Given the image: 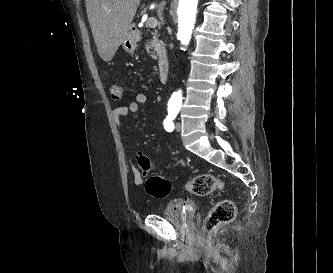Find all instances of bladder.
Masks as SVG:
<instances>
[{"instance_id": "bladder-1", "label": "bladder", "mask_w": 333, "mask_h": 273, "mask_svg": "<svg viewBox=\"0 0 333 273\" xmlns=\"http://www.w3.org/2000/svg\"><path fill=\"white\" fill-rule=\"evenodd\" d=\"M161 215L175 227H188L195 220V206L190 201L175 200L163 208Z\"/></svg>"}]
</instances>
